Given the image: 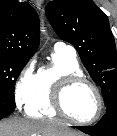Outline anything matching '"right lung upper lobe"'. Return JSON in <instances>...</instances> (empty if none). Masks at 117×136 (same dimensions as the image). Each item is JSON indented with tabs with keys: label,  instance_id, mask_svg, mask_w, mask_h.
<instances>
[{
	"label": "right lung upper lobe",
	"instance_id": "right-lung-upper-lobe-1",
	"mask_svg": "<svg viewBox=\"0 0 117 136\" xmlns=\"http://www.w3.org/2000/svg\"><path fill=\"white\" fill-rule=\"evenodd\" d=\"M39 35L38 15L27 2L0 0V55L30 59Z\"/></svg>",
	"mask_w": 117,
	"mask_h": 136
}]
</instances>
